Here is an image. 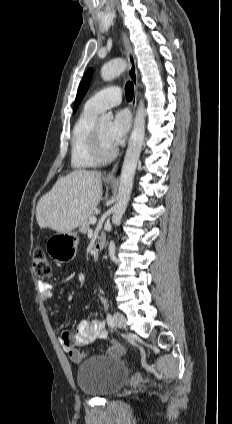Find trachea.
Returning a JSON list of instances; mask_svg holds the SVG:
<instances>
[{"label": "trachea", "instance_id": "1", "mask_svg": "<svg viewBox=\"0 0 232 424\" xmlns=\"http://www.w3.org/2000/svg\"><path fill=\"white\" fill-rule=\"evenodd\" d=\"M125 93H126V98L128 100H132L133 98V93H134V86L132 82H127L126 86H125Z\"/></svg>", "mask_w": 232, "mask_h": 424}]
</instances>
